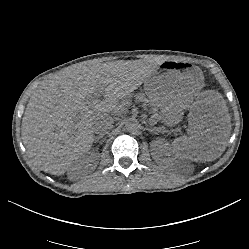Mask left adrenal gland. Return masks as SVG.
I'll list each match as a JSON object with an SVG mask.
<instances>
[{
	"label": "left adrenal gland",
	"mask_w": 249,
	"mask_h": 249,
	"mask_svg": "<svg viewBox=\"0 0 249 249\" xmlns=\"http://www.w3.org/2000/svg\"><path fill=\"white\" fill-rule=\"evenodd\" d=\"M146 130H147L148 132H150V133L155 134V133H154V127H152V128L147 127Z\"/></svg>",
	"instance_id": "obj_1"
}]
</instances>
